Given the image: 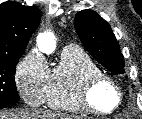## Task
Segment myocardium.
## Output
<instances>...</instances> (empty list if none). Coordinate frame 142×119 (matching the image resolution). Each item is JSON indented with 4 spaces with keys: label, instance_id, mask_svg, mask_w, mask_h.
I'll list each match as a JSON object with an SVG mask.
<instances>
[{
    "label": "myocardium",
    "instance_id": "myocardium-1",
    "mask_svg": "<svg viewBox=\"0 0 142 119\" xmlns=\"http://www.w3.org/2000/svg\"><path fill=\"white\" fill-rule=\"evenodd\" d=\"M102 85H108L116 94V102L109 109L99 108L93 100V93L95 89ZM76 96L80 105L86 112L98 115L112 114L122 103V92L119 85L113 80V78L102 72L87 76L78 86Z\"/></svg>",
    "mask_w": 142,
    "mask_h": 119
}]
</instances>
